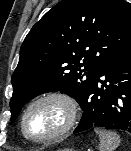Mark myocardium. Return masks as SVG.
<instances>
[{
	"mask_svg": "<svg viewBox=\"0 0 131 151\" xmlns=\"http://www.w3.org/2000/svg\"><path fill=\"white\" fill-rule=\"evenodd\" d=\"M48 101H54L59 103L61 106H63L65 113H66V118L65 122L63 125L57 129L55 132L52 134L41 137V138H35L32 137L28 134L26 130V118L29 114V112L38 104L48 102ZM78 119V104L76 100L69 95L66 92L59 91V90H52V91H47L43 94H40L39 96L35 97L25 108L23 111V114L21 116V122H20V127H21V132L23 136L33 142V143H47L54 141L62 136H64L66 133H68L75 125L76 121Z\"/></svg>",
	"mask_w": 131,
	"mask_h": 151,
	"instance_id": "myocardium-1",
	"label": "myocardium"
}]
</instances>
